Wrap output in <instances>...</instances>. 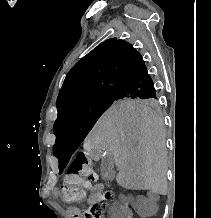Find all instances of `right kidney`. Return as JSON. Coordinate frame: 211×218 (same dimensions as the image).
Masks as SVG:
<instances>
[{
  "label": "right kidney",
  "instance_id": "1",
  "mask_svg": "<svg viewBox=\"0 0 211 218\" xmlns=\"http://www.w3.org/2000/svg\"><path fill=\"white\" fill-rule=\"evenodd\" d=\"M118 197L123 198V201H115V206H110V217L129 218L131 216V205L132 202H135V197H129L128 193H119Z\"/></svg>",
  "mask_w": 211,
  "mask_h": 218
}]
</instances>
